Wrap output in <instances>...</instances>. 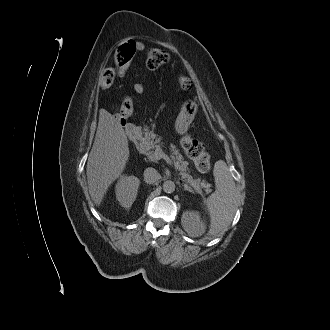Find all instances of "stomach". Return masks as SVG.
<instances>
[{"mask_svg": "<svg viewBox=\"0 0 330 330\" xmlns=\"http://www.w3.org/2000/svg\"><path fill=\"white\" fill-rule=\"evenodd\" d=\"M197 109L198 105L195 101L188 100L183 103L175 124L176 131L180 135H185L187 133L189 126L197 113Z\"/></svg>", "mask_w": 330, "mask_h": 330, "instance_id": "stomach-1", "label": "stomach"}]
</instances>
